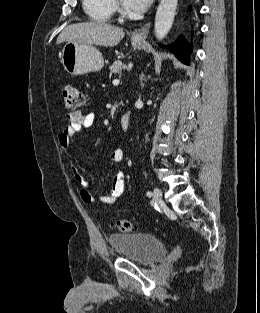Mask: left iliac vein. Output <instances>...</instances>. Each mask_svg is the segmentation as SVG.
I'll list each match as a JSON object with an SVG mask.
<instances>
[{
  "label": "left iliac vein",
  "instance_id": "left-iliac-vein-1",
  "mask_svg": "<svg viewBox=\"0 0 260 313\" xmlns=\"http://www.w3.org/2000/svg\"><path fill=\"white\" fill-rule=\"evenodd\" d=\"M153 201L155 203H160L162 201V190L158 187H155L153 190Z\"/></svg>",
  "mask_w": 260,
  "mask_h": 313
}]
</instances>
